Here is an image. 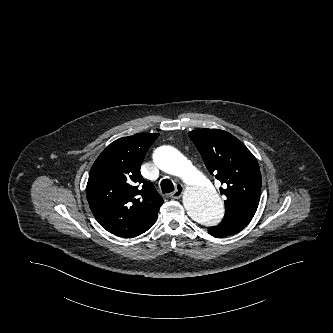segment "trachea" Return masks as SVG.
I'll use <instances>...</instances> for the list:
<instances>
[{"mask_svg":"<svg viewBox=\"0 0 333 333\" xmlns=\"http://www.w3.org/2000/svg\"><path fill=\"white\" fill-rule=\"evenodd\" d=\"M163 193H170L174 191V184L169 179H163L160 183Z\"/></svg>","mask_w":333,"mask_h":333,"instance_id":"obj_1","label":"trachea"}]
</instances>
